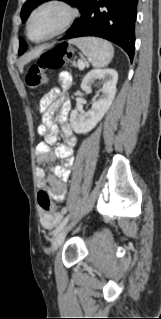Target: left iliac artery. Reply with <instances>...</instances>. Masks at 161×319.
<instances>
[{
	"mask_svg": "<svg viewBox=\"0 0 161 319\" xmlns=\"http://www.w3.org/2000/svg\"><path fill=\"white\" fill-rule=\"evenodd\" d=\"M70 215H67L64 220L59 224V226L53 231V235L55 236L57 233H59L67 224L69 220Z\"/></svg>",
	"mask_w": 161,
	"mask_h": 319,
	"instance_id": "44dca946",
	"label": "left iliac artery"
}]
</instances>
